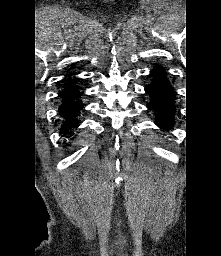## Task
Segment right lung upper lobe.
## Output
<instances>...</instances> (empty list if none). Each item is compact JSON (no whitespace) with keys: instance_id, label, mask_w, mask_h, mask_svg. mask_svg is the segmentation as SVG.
Listing matches in <instances>:
<instances>
[{"instance_id":"cb5924a9","label":"right lung upper lobe","mask_w":221,"mask_h":256,"mask_svg":"<svg viewBox=\"0 0 221 256\" xmlns=\"http://www.w3.org/2000/svg\"><path fill=\"white\" fill-rule=\"evenodd\" d=\"M64 90L65 91L63 92L62 98L65 96H69V95L79 92L77 86H75V84L73 82L68 83L66 85V87L64 88Z\"/></svg>"}]
</instances>
